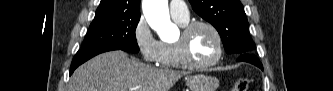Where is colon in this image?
<instances>
[{
  "instance_id": "obj_1",
  "label": "colon",
  "mask_w": 333,
  "mask_h": 91,
  "mask_svg": "<svg viewBox=\"0 0 333 91\" xmlns=\"http://www.w3.org/2000/svg\"><path fill=\"white\" fill-rule=\"evenodd\" d=\"M250 84H251L250 79L241 78L235 83L234 90L235 91H247V90H249Z\"/></svg>"
}]
</instances>
